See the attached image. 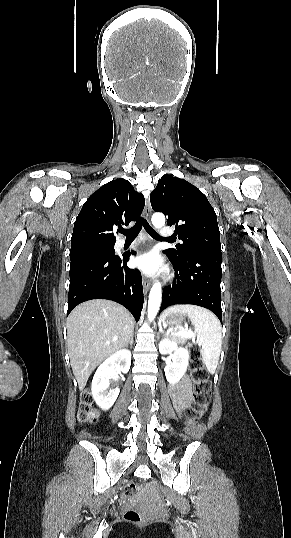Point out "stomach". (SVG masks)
I'll return each mask as SVG.
<instances>
[{
    "instance_id": "0dacf381",
    "label": "stomach",
    "mask_w": 291,
    "mask_h": 538,
    "mask_svg": "<svg viewBox=\"0 0 291 538\" xmlns=\"http://www.w3.org/2000/svg\"><path fill=\"white\" fill-rule=\"evenodd\" d=\"M184 318L185 314L182 313L170 314L163 319V324L172 328H180Z\"/></svg>"
}]
</instances>
